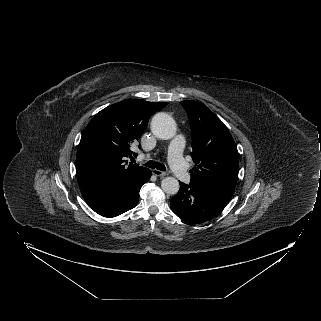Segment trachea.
Listing matches in <instances>:
<instances>
[{
	"instance_id": "trachea-1",
	"label": "trachea",
	"mask_w": 321,
	"mask_h": 321,
	"mask_svg": "<svg viewBox=\"0 0 321 321\" xmlns=\"http://www.w3.org/2000/svg\"><path fill=\"white\" fill-rule=\"evenodd\" d=\"M146 167H149V168H153V169H158L160 171H165L166 170V167L162 164V163H159V162H155V161H148L144 164Z\"/></svg>"
}]
</instances>
